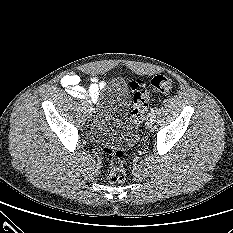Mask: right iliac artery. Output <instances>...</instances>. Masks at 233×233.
<instances>
[{"label":"right iliac artery","instance_id":"obj_1","mask_svg":"<svg viewBox=\"0 0 233 233\" xmlns=\"http://www.w3.org/2000/svg\"><path fill=\"white\" fill-rule=\"evenodd\" d=\"M81 105H82V107L86 108L87 103L85 101H81Z\"/></svg>","mask_w":233,"mask_h":233}]
</instances>
